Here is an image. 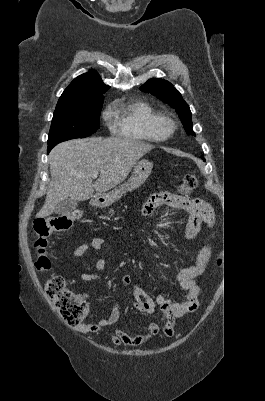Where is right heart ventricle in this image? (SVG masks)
<instances>
[{"label": "right heart ventricle", "instance_id": "e07e8e85", "mask_svg": "<svg viewBox=\"0 0 265 401\" xmlns=\"http://www.w3.org/2000/svg\"><path fill=\"white\" fill-rule=\"evenodd\" d=\"M110 113L117 117V128L121 134L158 141L153 131V122L160 114L149 102L123 94L112 102Z\"/></svg>", "mask_w": 265, "mask_h": 401}]
</instances>
